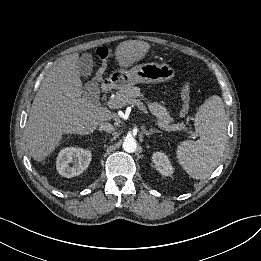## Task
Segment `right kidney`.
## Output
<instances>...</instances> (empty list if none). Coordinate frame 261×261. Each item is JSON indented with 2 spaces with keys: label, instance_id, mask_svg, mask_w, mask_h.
Returning a JSON list of instances; mask_svg holds the SVG:
<instances>
[{
  "label": "right kidney",
  "instance_id": "ca27d5eb",
  "mask_svg": "<svg viewBox=\"0 0 261 261\" xmlns=\"http://www.w3.org/2000/svg\"><path fill=\"white\" fill-rule=\"evenodd\" d=\"M91 158L89 150L66 147L58 154L56 168L61 176L71 178L81 174L90 164Z\"/></svg>",
  "mask_w": 261,
  "mask_h": 261
}]
</instances>
